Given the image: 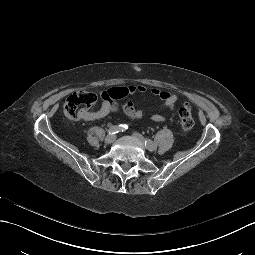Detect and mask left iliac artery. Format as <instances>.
Here are the masks:
<instances>
[{"label": "left iliac artery", "mask_w": 255, "mask_h": 255, "mask_svg": "<svg viewBox=\"0 0 255 255\" xmlns=\"http://www.w3.org/2000/svg\"><path fill=\"white\" fill-rule=\"evenodd\" d=\"M145 145L151 147V146H154L156 145L153 141H151L150 139H146L145 140Z\"/></svg>", "instance_id": "obj_1"}]
</instances>
